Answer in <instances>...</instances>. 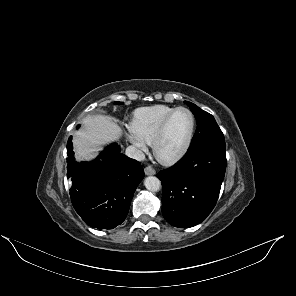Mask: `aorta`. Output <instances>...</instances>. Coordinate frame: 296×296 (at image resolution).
<instances>
[{"mask_svg": "<svg viewBox=\"0 0 296 296\" xmlns=\"http://www.w3.org/2000/svg\"><path fill=\"white\" fill-rule=\"evenodd\" d=\"M144 185L149 191L157 192L161 187V182L157 177L149 176L145 179Z\"/></svg>", "mask_w": 296, "mask_h": 296, "instance_id": "1", "label": "aorta"}]
</instances>
